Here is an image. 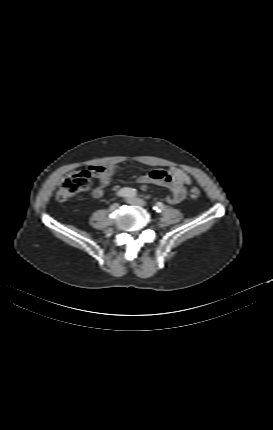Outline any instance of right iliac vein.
I'll use <instances>...</instances> for the list:
<instances>
[{
  "mask_svg": "<svg viewBox=\"0 0 273 430\" xmlns=\"http://www.w3.org/2000/svg\"><path fill=\"white\" fill-rule=\"evenodd\" d=\"M118 207H119V204L114 203L109 207V211H111V212L115 211Z\"/></svg>",
  "mask_w": 273,
  "mask_h": 430,
  "instance_id": "63e3f726",
  "label": "right iliac vein"
}]
</instances>
